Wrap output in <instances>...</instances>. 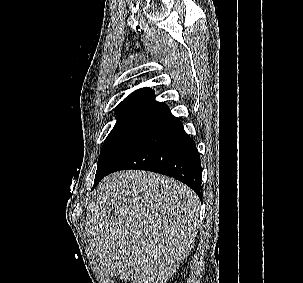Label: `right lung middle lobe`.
I'll return each mask as SVG.
<instances>
[{"label": "right lung middle lobe", "mask_w": 303, "mask_h": 283, "mask_svg": "<svg viewBox=\"0 0 303 283\" xmlns=\"http://www.w3.org/2000/svg\"><path fill=\"white\" fill-rule=\"evenodd\" d=\"M155 117H119L114 128L104 141L94 183L103 177L125 150L153 123Z\"/></svg>", "instance_id": "right-lung-middle-lobe-1"}]
</instances>
